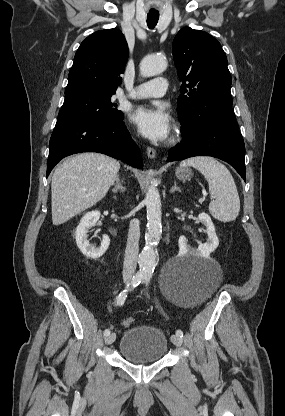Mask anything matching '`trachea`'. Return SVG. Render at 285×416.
<instances>
[{
    "mask_svg": "<svg viewBox=\"0 0 285 416\" xmlns=\"http://www.w3.org/2000/svg\"><path fill=\"white\" fill-rule=\"evenodd\" d=\"M159 20V13H148L147 14V25L151 30L157 25Z\"/></svg>",
    "mask_w": 285,
    "mask_h": 416,
    "instance_id": "3493384b",
    "label": "trachea"
}]
</instances>
